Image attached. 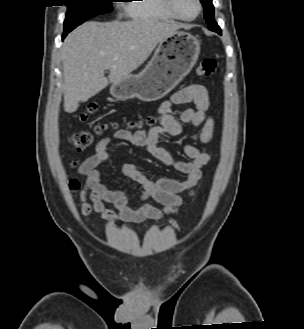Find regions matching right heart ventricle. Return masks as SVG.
<instances>
[{
  "label": "right heart ventricle",
  "instance_id": "1",
  "mask_svg": "<svg viewBox=\"0 0 304 329\" xmlns=\"http://www.w3.org/2000/svg\"><path fill=\"white\" fill-rule=\"evenodd\" d=\"M129 2L126 4V9L133 19L163 21L173 19L162 0H130Z\"/></svg>",
  "mask_w": 304,
  "mask_h": 329
}]
</instances>
